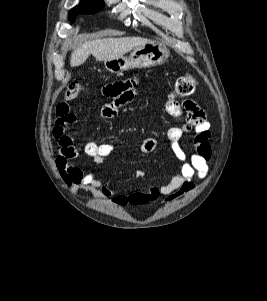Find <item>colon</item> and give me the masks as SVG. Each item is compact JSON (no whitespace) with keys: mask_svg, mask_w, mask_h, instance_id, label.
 Returning <instances> with one entry per match:
<instances>
[{"mask_svg":"<svg viewBox=\"0 0 267 301\" xmlns=\"http://www.w3.org/2000/svg\"><path fill=\"white\" fill-rule=\"evenodd\" d=\"M196 87L197 83L191 75H182L176 80L175 87L173 90V96L180 98L188 97L195 92ZM81 89V85L77 81L71 82L66 87L64 93L65 100H74L81 92Z\"/></svg>","mask_w":267,"mask_h":301,"instance_id":"obj_1","label":"colon"}]
</instances>
